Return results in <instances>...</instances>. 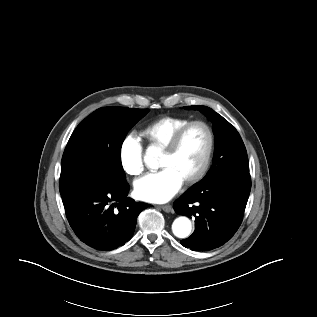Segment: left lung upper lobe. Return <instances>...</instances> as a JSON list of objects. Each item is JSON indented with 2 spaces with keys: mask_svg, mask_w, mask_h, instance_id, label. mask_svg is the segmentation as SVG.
<instances>
[{
  "mask_svg": "<svg viewBox=\"0 0 317 317\" xmlns=\"http://www.w3.org/2000/svg\"><path fill=\"white\" fill-rule=\"evenodd\" d=\"M199 110L213 122L215 152L213 165L199 183H212L233 173H249L246 148L237 130L221 115L206 106H186Z\"/></svg>",
  "mask_w": 317,
  "mask_h": 317,
  "instance_id": "5c2ea615",
  "label": "left lung upper lobe"
}]
</instances>
